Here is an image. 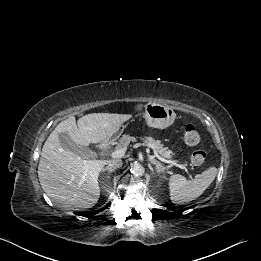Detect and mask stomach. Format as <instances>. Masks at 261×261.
I'll return each instance as SVG.
<instances>
[{"label": "stomach", "instance_id": "stomach-1", "mask_svg": "<svg viewBox=\"0 0 261 261\" xmlns=\"http://www.w3.org/2000/svg\"><path fill=\"white\" fill-rule=\"evenodd\" d=\"M144 108V117L149 127L164 129L174 123L176 114L174 110L168 106L158 103H148L144 106L138 104L136 110ZM124 125H120L116 132L108 139L115 140L123 132Z\"/></svg>", "mask_w": 261, "mask_h": 261}]
</instances>
